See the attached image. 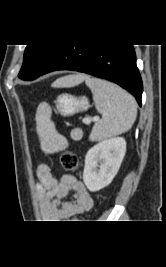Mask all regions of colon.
I'll return each mask as SVG.
<instances>
[{"label": "colon", "instance_id": "1", "mask_svg": "<svg viewBox=\"0 0 166 267\" xmlns=\"http://www.w3.org/2000/svg\"><path fill=\"white\" fill-rule=\"evenodd\" d=\"M62 167L67 171H75L79 166V159L72 151H65L60 156Z\"/></svg>", "mask_w": 166, "mask_h": 267}]
</instances>
